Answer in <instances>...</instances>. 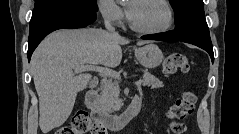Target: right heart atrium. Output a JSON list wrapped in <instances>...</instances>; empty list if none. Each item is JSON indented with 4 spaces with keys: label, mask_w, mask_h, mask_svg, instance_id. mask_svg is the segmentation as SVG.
Wrapping results in <instances>:
<instances>
[{
    "label": "right heart atrium",
    "mask_w": 239,
    "mask_h": 134,
    "mask_svg": "<svg viewBox=\"0 0 239 134\" xmlns=\"http://www.w3.org/2000/svg\"><path fill=\"white\" fill-rule=\"evenodd\" d=\"M99 11L103 19L113 25L121 24L123 21V11L114 0H99Z\"/></svg>",
    "instance_id": "obj_1"
}]
</instances>
